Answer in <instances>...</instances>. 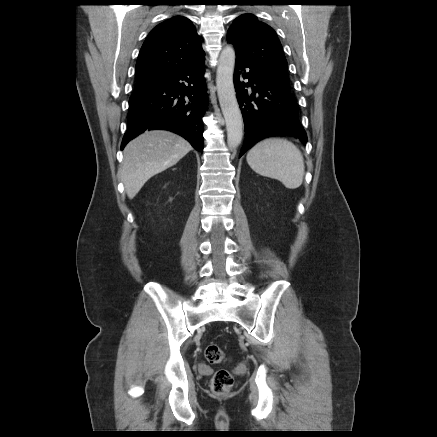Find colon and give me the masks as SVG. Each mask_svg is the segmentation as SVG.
I'll list each match as a JSON object with an SVG mask.
<instances>
[{"label":"colon","instance_id":"colon-1","mask_svg":"<svg viewBox=\"0 0 437 437\" xmlns=\"http://www.w3.org/2000/svg\"><path fill=\"white\" fill-rule=\"evenodd\" d=\"M205 358L211 364H223L227 361V356L224 351L216 344H209L205 348ZM234 384L232 374L225 370L219 369L215 372L212 381V391L218 395L227 394Z\"/></svg>","mask_w":437,"mask_h":437}]
</instances>
